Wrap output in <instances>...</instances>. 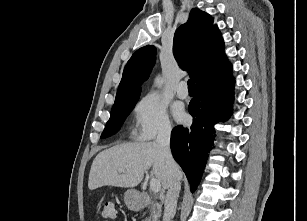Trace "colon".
Masks as SVG:
<instances>
[{"mask_svg":"<svg viewBox=\"0 0 307 221\" xmlns=\"http://www.w3.org/2000/svg\"><path fill=\"white\" fill-rule=\"evenodd\" d=\"M102 221H109L115 217L114 204L110 201L104 202L100 211Z\"/></svg>","mask_w":307,"mask_h":221,"instance_id":"5ec220e1","label":"colon"}]
</instances>
